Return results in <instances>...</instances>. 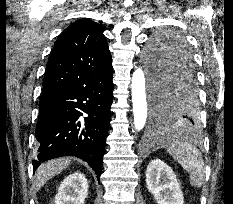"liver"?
Here are the masks:
<instances>
[{"label": "liver", "mask_w": 233, "mask_h": 204, "mask_svg": "<svg viewBox=\"0 0 233 204\" xmlns=\"http://www.w3.org/2000/svg\"><path fill=\"white\" fill-rule=\"evenodd\" d=\"M71 160L69 158L53 159L40 165L35 173L34 189L38 191L49 179L66 169Z\"/></svg>", "instance_id": "liver-1"}]
</instances>
